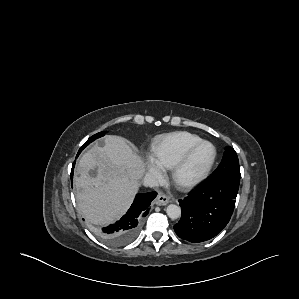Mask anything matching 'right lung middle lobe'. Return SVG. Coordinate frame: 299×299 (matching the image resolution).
Instances as JSON below:
<instances>
[{
    "label": "right lung middle lobe",
    "mask_w": 299,
    "mask_h": 299,
    "mask_svg": "<svg viewBox=\"0 0 299 299\" xmlns=\"http://www.w3.org/2000/svg\"><path fill=\"white\" fill-rule=\"evenodd\" d=\"M105 134V132H99L93 136H91L87 141L86 143L81 147L80 151L82 149H84L89 143H91L92 141H94L95 139L99 138V137H102L103 135Z\"/></svg>",
    "instance_id": "dd1d6c3e"
}]
</instances>
